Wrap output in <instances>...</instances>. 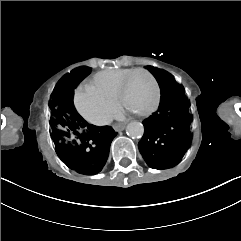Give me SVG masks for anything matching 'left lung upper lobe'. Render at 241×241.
Wrapping results in <instances>:
<instances>
[{
    "label": "left lung upper lobe",
    "mask_w": 241,
    "mask_h": 241,
    "mask_svg": "<svg viewBox=\"0 0 241 241\" xmlns=\"http://www.w3.org/2000/svg\"><path fill=\"white\" fill-rule=\"evenodd\" d=\"M157 79L160 87L161 92L165 91L167 88L171 86L179 85L174 77L164 70H159L157 68H153L151 66L146 67Z\"/></svg>",
    "instance_id": "left-lung-upper-lobe-1"
}]
</instances>
